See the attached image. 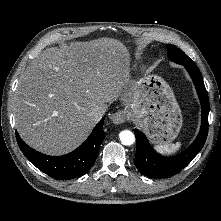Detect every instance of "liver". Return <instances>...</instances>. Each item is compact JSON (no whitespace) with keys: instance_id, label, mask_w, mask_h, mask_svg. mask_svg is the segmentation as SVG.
<instances>
[{"instance_id":"6515ba94","label":"liver","mask_w":221,"mask_h":221,"mask_svg":"<svg viewBox=\"0 0 221 221\" xmlns=\"http://www.w3.org/2000/svg\"><path fill=\"white\" fill-rule=\"evenodd\" d=\"M128 66L127 48L107 37L41 52L21 74L14 97L21 138L49 155L77 148L97 123L90 116L94 109L134 99Z\"/></svg>"}]
</instances>
